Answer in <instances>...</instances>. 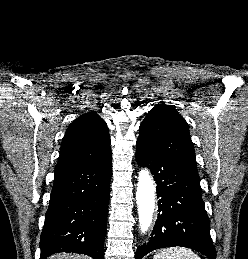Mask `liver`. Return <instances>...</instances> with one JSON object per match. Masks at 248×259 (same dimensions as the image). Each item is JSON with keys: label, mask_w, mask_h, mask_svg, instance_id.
Segmentation results:
<instances>
[{"label": "liver", "mask_w": 248, "mask_h": 259, "mask_svg": "<svg viewBox=\"0 0 248 259\" xmlns=\"http://www.w3.org/2000/svg\"><path fill=\"white\" fill-rule=\"evenodd\" d=\"M49 259H91V258L80 254L62 253V254H55L51 256Z\"/></svg>", "instance_id": "1"}]
</instances>
